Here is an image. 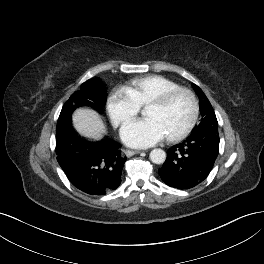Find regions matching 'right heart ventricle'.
Listing matches in <instances>:
<instances>
[{"mask_svg": "<svg viewBox=\"0 0 264 264\" xmlns=\"http://www.w3.org/2000/svg\"><path fill=\"white\" fill-rule=\"evenodd\" d=\"M180 85L162 75H146L132 80L126 87L127 92L139 107L146 106L151 100Z\"/></svg>", "mask_w": 264, "mask_h": 264, "instance_id": "right-heart-ventricle-1", "label": "right heart ventricle"}]
</instances>
